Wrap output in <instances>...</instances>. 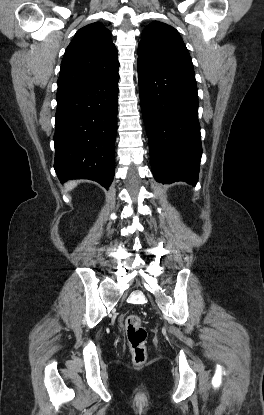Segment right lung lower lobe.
I'll list each match as a JSON object with an SVG mask.
<instances>
[{
    "instance_id": "obj_1",
    "label": "right lung lower lobe",
    "mask_w": 264,
    "mask_h": 415,
    "mask_svg": "<svg viewBox=\"0 0 264 415\" xmlns=\"http://www.w3.org/2000/svg\"><path fill=\"white\" fill-rule=\"evenodd\" d=\"M119 74L57 91L54 169L62 182L90 179L108 188L115 172Z\"/></svg>"
}]
</instances>
